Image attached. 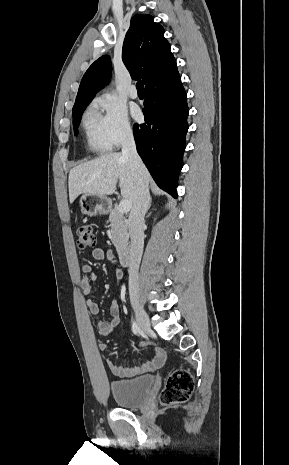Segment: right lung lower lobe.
<instances>
[{
	"label": "right lung lower lobe",
	"instance_id": "98d812e1",
	"mask_svg": "<svg viewBox=\"0 0 289 465\" xmlns=\"http://www.w3.org/2000/svg\"><path fill=\"white\" fill-rule=\"evenodd\" d=\"M144 104L145 123L133 127L138 154L157 185L176 198L189 113L180 76L147 88Z\"/></svg>",
	"mask_w": 289,
	"mask_h": 465
}]
</instances>
